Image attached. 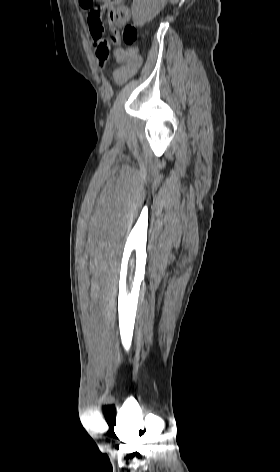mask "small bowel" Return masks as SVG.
Instances as JSON below:
<instances>
[{
    "label": "small bowel",
    "instance_id": "1",
    "mask_svg": "<svg viewBox=\"0 0 280 472\" xmlns=\"http://www.w3.org/2000/svg\"><path fill=\"white\" fill-rule=\"evenodd\" d=\"M79 0L82 9L87 10ZM103 4L109 8L107 24L111 35L106 37L103 23L90 24L89 31L92 44L95 48V54L100 66L107 61L110 52L118 63V67L114 71V77L111 80L116 86H120L127 82L138 70L142 60L138 54L128 55L126 51L120 47V31L130 20L131 12L127 5L120 0L119 2L110 3V0H101Z\"/></svg>",
    "mask_w": 280,
    "mask_h": 472
}]
</instances>
